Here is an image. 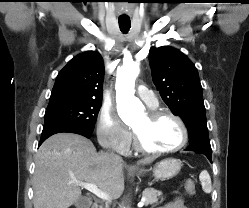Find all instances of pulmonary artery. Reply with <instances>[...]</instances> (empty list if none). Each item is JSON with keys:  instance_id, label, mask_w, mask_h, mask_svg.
<instances>
[{"instance_id": "pulmonary-artery-1", "label": "pulmonary artery", "mask_w": 249, "mask_h": 208, "mask_svg": "<svg viewBox=\"0 0 249 208\" xmlns=\"http://www.w3.org/2000/svg\"><path fill=\"white\" fill-rule=\"evenodd\" d=\"M138 97L150 108H155L158 105L157 98L153 91L149 90L144 86H139L138 90Z\"/></svg>"}]
</instances>
